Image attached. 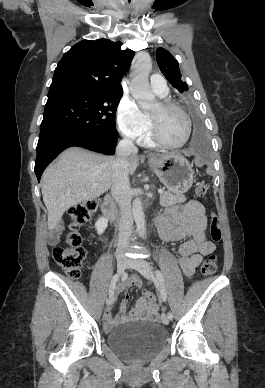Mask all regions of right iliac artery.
<instances>
[{"instance_id":"obj_1","label":"right iliac artery","mask_w":265,"mask_h":388,"mask_svg":"<svg viewBox=\"0 0 265 388\" xmlns=\"http://www.w3.org/2000/svg\"><path fill=\"white\" fill-rule=\"evenodd\" d=\"M118 279H119L118 274H115L112 277L110 288H109V296H112L114 294V290H115L116 284L118 282Z\"/></svg>"}]
</instances>
